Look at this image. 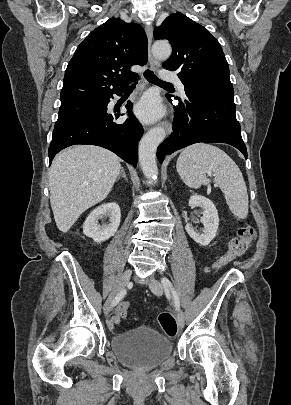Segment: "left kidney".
I'll return each mask as SVG.
<instances>
[{
    "instance_id": "obj_1",
    "label": "left kidney",
    "mask_w": 291,
    "mask_h": 405,
    "mask_svg": "<svg viewBox=\"0 0 291 405\" xmlns=\"http://www.w3.org/2000/svg\"><path fill=\"white\" fill-rule=\"evenodd\" d=\"M189 206H198L203 209L201 223L204 225V229L202 233H198L190 224H187L186 232L196 243L207 246L215 238L219 226L217 209L211 200L201 195L191 196Z\"/></svg>"
}]
</instances>
